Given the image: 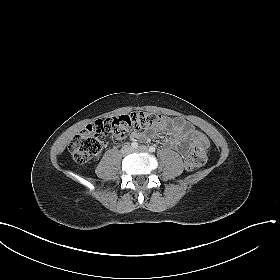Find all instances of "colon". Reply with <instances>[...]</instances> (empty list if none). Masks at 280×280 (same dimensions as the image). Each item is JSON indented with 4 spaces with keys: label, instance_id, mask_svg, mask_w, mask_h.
Returning <instances> with one entry per match:
<instances>
[{
    "label": "colon",
    "instance_id": "5ec220e1",
    "mask_svg": "<svg viewBox=\"0 0 280 280\" xmlns=\"http://www.w3.org/2000/svg\"><path fill=\"white\" fill-rule=\"evenodd\" d=\"M167 121L158 113L137 111L130 115L98 120L76 135L69 145L73 159L79 164L89 162L107 143H120L131 129H149ZM207 160V144L194 143L186 158V169L196 170Z\"/></svg>",
    "mask_w": 280,
    "mask_h": 280
}]
</instances>
